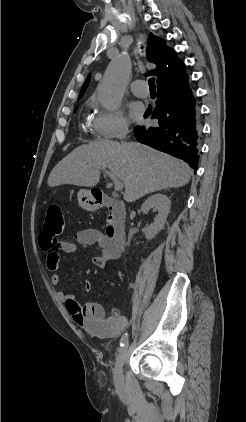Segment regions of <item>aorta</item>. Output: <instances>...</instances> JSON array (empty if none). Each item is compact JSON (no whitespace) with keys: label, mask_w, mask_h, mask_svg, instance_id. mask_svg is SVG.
Segmentation results:
<instances>
[{"label":"aorta","mask_w":246,"mask_h":422,"mask_svg":"<svg viewBox=\"0 0 246 422\" xmlns=\"http://www.w3.org/2000/svg\"><path fill=\"white\" fill-rule=\"evenodd\" d=\"M131 63L127 54H121L109 64L99 87V101L107 110L116 109L124 95L130 77Z\"/></svg>","instance_id":"762f6f07"}]
</instances>
